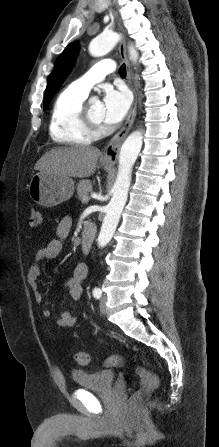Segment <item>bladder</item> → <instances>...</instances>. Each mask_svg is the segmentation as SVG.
I'll use <instances>...</instances> for the list:
<instances>
[{"mask_svg":"<svg viewBox=\"0 0 219 447\" xmlns=\"http://www.w3.org/2000/svg\"><path fill=\"white\" fill-rule=\"evenodd\" d=\"M117 374L111 370L84 371L72 370L71 378L81 389L88 391H107L116 381Z\"/></svg>","mask_w":219,"mask_h":447,"instance_id":"1","label":"bladder"}]
</instances>
